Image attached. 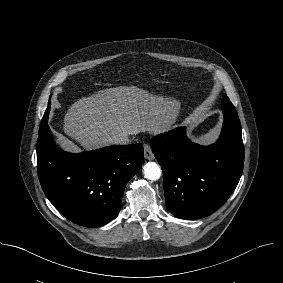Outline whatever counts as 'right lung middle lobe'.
Here are the masks:
<instances>
[{"mask_svg":"<svg viewBox=\"0 0 283 283\" xmlns=\"http://www.w3.org/2000/svg\"><path fill=\"white\" fill-rule=\"evenodd\" d=\"M50 105H51L50 102H48V108H47L43 118H48V114H49V111H50Z\"/></svg>","mask_w":283,"mask_h":283,"instance_id":"obj_1","label":"right lung middle lobe"}]
</instances>
